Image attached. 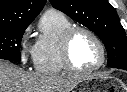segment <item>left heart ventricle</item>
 I'll list each match as a JSON object with an SVG mask.
<instances>
[{"label": "left heart ventricle", "mask_w": 127, "mask_h": 92, "mask_svg": "<svg viewBox=\"0 0 127 92\" xmlns=\"http://www.w3.org/2000/svg\"><path fill=\"white\" fill-rule=\"evenodd\" d=\"M71 58L76 67L88 69L99 63L100 51L93 38L81 32L72 41Z\"/></svg>", "instance_id": "1"}]
</instances>
